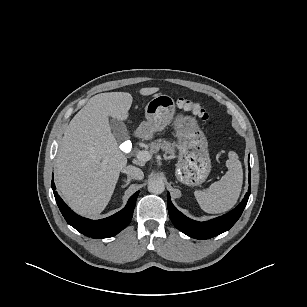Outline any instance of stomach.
I'll use <instances>...</instances> for the list:
<instances>
[{
  "label": "stomach",
  "instance_id": "obj_1",
  "mask_svg": "<svg viewBox=\"0 0 307 307\" xmlns=\"http://www.w3.org/2000/svg\"><path fill=\"white\" fill-rule=\"evenodd\" d=\"M174 113V100L165 94L156 95L145 107L146 121L137 128V135L152 138L155 132L170 124ZM174 128L180 152L176 177L183 184L198 186L205 182L211 170L207 139L194 117L178 115Z\"/></svg>",
  "mask_w": 307,
  "mask_h": 307
}]
</instances>
